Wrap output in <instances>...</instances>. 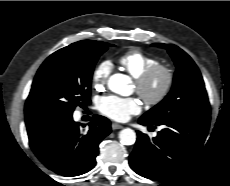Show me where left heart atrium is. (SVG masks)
<instances>
[{"label": "left heart atrium", "instance_id": "left-heart-atrium-1", "mask_svg": "<svg viewBox=\"0 0 230 186\" xmlns=\"http://www.w3.org/2000/svg\"><path fill=\"white\" fill-rule=\"evenodd\" d=\"M99 111L115 121H126L140 112L141 106L135 98H123L115 95L100 98Z\"/></svg>", "mask_w": 230, "mask_h": 186}]
</instances>
